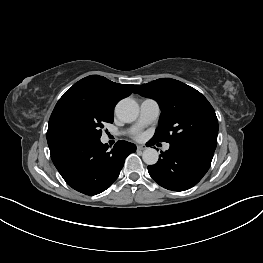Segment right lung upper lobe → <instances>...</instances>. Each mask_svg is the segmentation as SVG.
<instances>
[{
  "label": "right lung upper lobe",
  "instance_id": "cb5924a9",
  "mask_svg": "<svg viewBox=\"0 0 263 263\" xmlns=\"http://www.w3.org/2000/svg\"><path fill=\"white\" fill-rule=\"evenodd\" d=\"M134 89L135 86L132 84H118L105 77L91 75L81 79L66 91L55 108L64 100L74 98L92 103L113 114L116 103L131 95Z\"/></svg>",
  "mask_w": 263,
  "mask_h": 263
}]
</instances>
